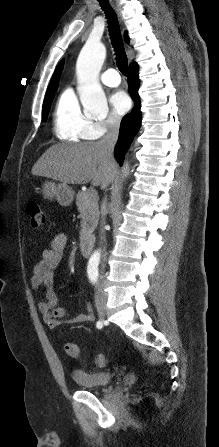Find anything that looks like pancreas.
<instances>
[{"instance_id": "obj_1", "label": "pancreas", "mask_w": 219, "mask_h": 447, "mask_svg": "<svg viewBox=\"0 0 219 447\" xmlns=\"http://www.w3.org/2000/svg\"><path fill=\"white\" fill-rule=\"evenodd\" d=\"M76 206L82 216L80 240L91 234L99 219L98 197L91 196L90 190L80 191L76 195Z\"/></svg>"}]
</instances>
